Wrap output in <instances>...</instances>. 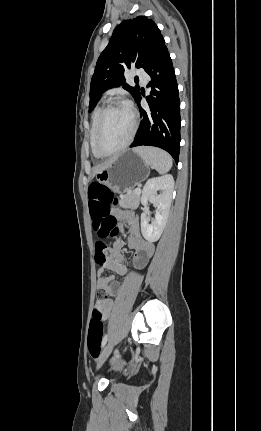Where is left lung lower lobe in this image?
Wrapping results in <instances>:
<instances>
[{
	"instance_id": "1",
	"label": "left lung lower lobe",
	"mask_w": 261,
	"mask_h": 431,
	"mask_svg": "<svg viewBox=\"0 0 261 431\" xmlns=\"http://www.w3.org/2000/svg\"><path fill=\"white\" fill-rule=\"evenodd\" d=\"M145 72L151 77L146 97L149 107L140 105L141 93L135 99L141 122L130 147L155 146L166 150L178 163L180 151V101L173 64L167 47H162Z\"/></svg>"
}]
</instances>
